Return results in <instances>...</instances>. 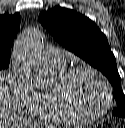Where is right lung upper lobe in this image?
Instances as JSON below:
<instances>
[{
    "label": "right lung upper lobe",
    "mask_w": 125,
    "mask_h": 128,
    "mask_svg": "<svg viewBox=\"0 0 125 128\" xmlns=\"http://www.w3.org/2000/svg\"><path fill=\"white\" fill-rule=\"evenodd\" d=\"M19 28V13L0 15V62L10 61L11 46Z\"/></svg>",
    "instance_id": "1"
}]
</instances>
